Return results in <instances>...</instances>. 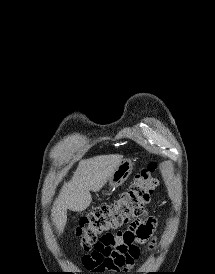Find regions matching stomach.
<instances>
[{
    "label": "stomach",
    "instance_id": "stomach-1",
    "mask_svg": "<svg viewBox=\"0 0 215 274\" xmlns=\"http://www.w3.org/2000/svg\"><path fill=\"white\" fill-rule=\"evenodd\" d=\"M133 169V163L129 159H123L117 169L107 180L108 185L115 189L122 185L129 177Z\"/></svg>",
    "mask_w": 215,
    "mask_h": 274
}]
</instances>
